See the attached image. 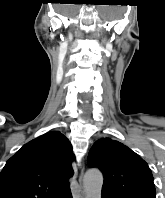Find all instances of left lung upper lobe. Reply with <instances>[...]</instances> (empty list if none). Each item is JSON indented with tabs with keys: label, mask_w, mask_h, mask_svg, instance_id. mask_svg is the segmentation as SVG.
<instances>
[{
	"label": "left lung upper lobe",
	"mask_w": 165,
	"mask_h": 198,
	"mask_svg": "<svg viewBox=\"0 0 165 198\" xmlns=\"http://www.w3.org/2000/svg\"><path fill=\"white\" fill-rule=\"evenodd\" d=\"M88 165L99 168L103 188L119 198H156L153 176L147 163L130 148L110 138L95 142Z\"/></svg>",
	"instance_id": "left-lung-upper-lobe-1"
}]
</instances>
